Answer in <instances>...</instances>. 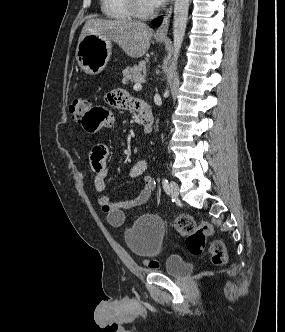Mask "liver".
Returning <instances> with one entry per match:
<instances>
[{
    "label": "liver",
    "mask_w": 285,
    "mask_h": 332,
    "mask_svg": "<svg viewBox=\"0 0 285 332\" xmlns=\"http://www.w3.org/2000/svg\"><path fill=\"white\" fill-rule=\"evenodd\" d=\"M88 34L114 41L129 57L139 58L148 51L153 30L137 21L91 18L82 29L79 42Z\"/></svg>",
    "instance_id": "liver-1"
}]
</instances>
